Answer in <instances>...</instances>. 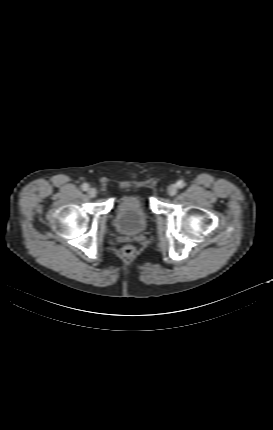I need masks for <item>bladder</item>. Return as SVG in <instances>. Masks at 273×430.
Instances as JSON below:
<instances>
[{"label":"bladder","instance_id":"obj_1","mask_svg":"<svg viewBox=\"0 0 273 430\" xmlns=\"http://www.w3.org/2000/svg\"><path fill=\"white\" fill-rule=\"evenodd\" d=\"M149 215L142 200L135 195L122 198L116 205L113 224L125 235H137L146 230Z\"/></svg>","mask_w":273,"mask_h":430}]
</instances>
